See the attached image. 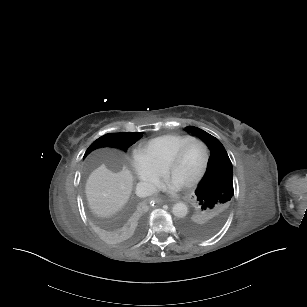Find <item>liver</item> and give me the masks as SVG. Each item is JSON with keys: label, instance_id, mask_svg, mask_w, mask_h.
I'll list each match as a JSON object with an SVG mask.
<instances>
[{"label": "liver", "instance_id": "obj_1", "mask_svg": "<svg viewBox=\"0 0 307 307\" xmlns=\"http://www.w3.org/2000/svg\"><path fill=\"white\" fill-rule=\"evenodd\" d=\"M132 183L130 171L122 163L102 164L91 173L86 184L91 209L102 216L115 213L127 202Z\"/></svg>", "mask_w": 307, "mask_h": 307}]
</instances>
